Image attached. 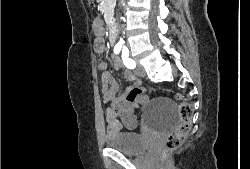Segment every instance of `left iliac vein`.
<instances>
[{
  "instance_id": "4c4485c4",
  "label": "left iliac vein",
  "mask_w": 250,
  "mask_h": 169,
  "mask_svg": "<svg viewBox=\"0 0 250 169\" xmlns=\"http://www.w3.org/2000/svg\"><path fill=\"white\" fill-rule=\"evenodd\" d=\"M136 64H137V68L134 71L135 74L139 77H145L146 73H145V70L143 69L142 65H140L139 62H137Z\"/></svg>"
}]
</instances>
